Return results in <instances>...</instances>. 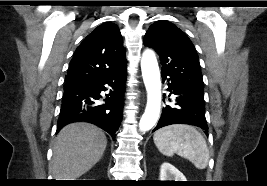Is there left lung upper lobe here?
<instances>
[{
    "label": "left lung upper lobe",
    "instance_id": "1",
    "mask_svg": "<svg viewBox=\"0 0 267 186\" xmlns=\"http://www.w3.org/2000/svg\"><path fill=\"white\" fill-rule=\"evenodd\" d=\"M144 45L158 53L162 73L203 92L204 82L196 49L174 24L165 20L152 24L145 35Z\"/></svg>",
    "mask_w": 267,
    "mask_h": 186
}]
</instances>
